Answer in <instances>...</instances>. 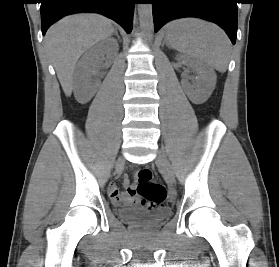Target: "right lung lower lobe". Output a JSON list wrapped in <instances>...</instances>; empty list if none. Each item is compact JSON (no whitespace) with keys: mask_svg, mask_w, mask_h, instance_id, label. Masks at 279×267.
Returning <instances> with one entry per match:
<instances>
[{"mask_svg":"<svg viewBox=\"0 0 279 267\" xmlns=\"http://www.w3.org/2000/svg\"><path fill=\"white\" fill-rule=\"evenodd\" d=\"M135 0H41L42 34L57 20L68 14L88 11L107 16L127 33L132 30Z\"/></svg>","mask_w":279,"mask_h":267,"instance_id":"right-lung-lower-lobe-1","label":"right lung lower lobe"}]
</instances>
